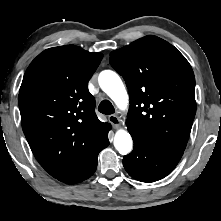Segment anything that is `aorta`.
<instances>
[{
  "label": "aorta",
  "mask_w": 221,
  "mask_h": 221,
  "mask_svg": "<svg viewBox=\"0 0 221 221\" xmlns=\"http://www.w3.org/2000/svg\"><path fill=\"white\" fill-rule=\"evenodd\" d=\"M99 85L102 90L115 102L117 107L125 109L128 104V94L119 75L111 70L102 71L99 75ZM116 150L126 155L131 152L133 142L126 130H118L114 137Z\"/></svg>",
  "instance_id": "obj_1"
}]
</instances>
